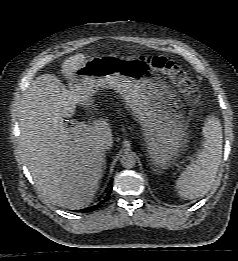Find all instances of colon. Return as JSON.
<instances>
[{
  "mask_svg": "<svg viewBox=\"0 0 238 261\" xmlns=\"http://www.w3.org/2000/svg\"><path fill=\"white\" fill-rule=\"evenodd\" d=\"M141 58L166 75L185 95L189 103L196 105L200 102L201 95L196 81L180 65L164 56L151 55Z\"/></svg>",
  "mask_w": 238,
  "mask_h": 261,
  "instance_id": "1",
  "label": "colon"
}]
</instances>
